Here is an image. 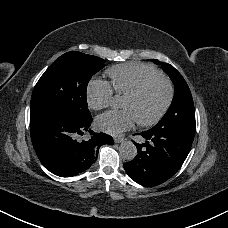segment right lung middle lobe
<instances>
[{"mask_svg":"<svg viewBox=\"0 0 228 228\" xmlns=\"http://www.w3.org/2000/svg\"><path fill=\"white\" fill-rule=\"evenodd\" d=\"M104 63L101 58L77 51L60 56L33 90L30 118L50 115L76 123L91 119L86 99L87 85Z\"/></svg>","mask_w":228,"mask_h":228,"instance_id":"dd1d6c3e","label":"right lung middle lobe"}]
</instances>
